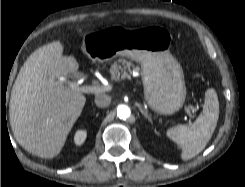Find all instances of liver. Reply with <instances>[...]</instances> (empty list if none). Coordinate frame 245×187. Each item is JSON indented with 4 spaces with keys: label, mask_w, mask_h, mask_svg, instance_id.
Here are the masks:
<instances>
[{
    "label": "liver",
    "mask_w": 245,
    "mask_h": 187,
    "mask_svg": "<svg viewBox=\"0 0 245 187\" xmlns=\"http://www.w3.org/2000/svg\"><path fill=\"white\" fill-rule=\"evenodd\" d=\"M63 51L60 41L35 50L11 91L9 117L14 137L26 151L45 159L61 152L86 102L81 92L56 81L79 68L75 57Z\"/></svg>",
    "instance_id": "liver-1"
}]
</instances>
